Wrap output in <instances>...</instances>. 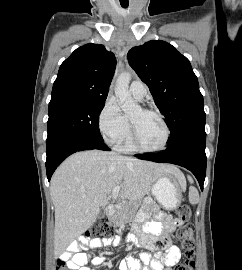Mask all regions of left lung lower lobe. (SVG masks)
I'll return each mask as SVG.
<instances>
[{
	"instance_id": "0a47b994",
	"label": "left lung lower lobe",
	"mask_w": 242,
	"mask_h": 270,
	"mask_svg": "<svg viewBox=\"0 0 242 270\" xmlns=\"http://www.w3.org/2000/svg\"><path fill=\"white\" fill-rule=\"evenodd\" d=\"M205 144V131H196L170 143L163 152L136 154L135 156L143 160L172 163L185 167L195 175L203 190L207 163Z\"/></svg>"
}]
</instances>
